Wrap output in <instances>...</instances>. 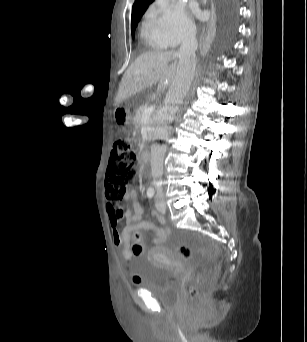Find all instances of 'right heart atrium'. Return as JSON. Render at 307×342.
<instances>
[{
	"instance_id": "1",
	"label": "right heart atrium",
	"mask_w": 307,
	"mask_h": 342,
	"mask_svg": "<svg viewBox=\"0 0 307 342\" xmlns=\"http://www.w3.org/2000/svg\"><path fill=\"white\" fill-rule=\"evenodd\" d=\"M191 23L184 20L181 12L172 7L157 10L143 34L165 47H175L193 33Z\"/></svg>"
}]
</instances>
